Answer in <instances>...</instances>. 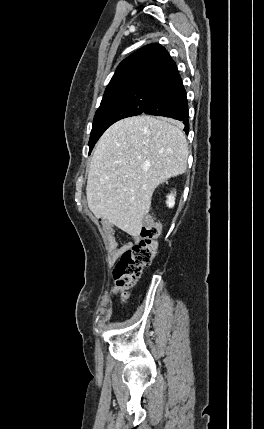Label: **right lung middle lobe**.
Masks as SVG:
<instances>
[{
	"label": "right lung middle lobe",
	"instance_id": "1",
	"mask_svg": "<svg viewBox=\"0 0 264 429\" xmlns=\"http://www.w3.org/2000/svg\"><path fill=\"white\" fill-rule=\"evenodd\" d=\"M159 89L157 86L138 85L104 94L94 117L89 154L109 126L120 119L143 113Z\"/></svg>",
	"mask_w": 264,
	"mask_h": 429
}]
</instances>
